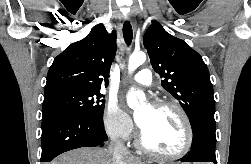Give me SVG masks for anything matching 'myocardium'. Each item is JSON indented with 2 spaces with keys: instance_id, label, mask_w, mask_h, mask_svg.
<instances>
[{
  "instance_id": "obj_1",
  "label": "myocardium",
  "mask_w": 251,
  "mask_h": 164,
  "mask_svg": "<svg viewBox=\"0 0 251 164\" xmlns=\"http://www.w3.org/2000/svg\"><path fill=\"white\" fill-rule=\"evenodd\" d=\"M153 106L157 108H171L177 112L185 128L186 138H185L184 146L177 153L170 154V153L160 152L152 148L146 143L143 132L140 128L138 132V137H137V142H138L139 147L146 153L155 157L163 158V159L174 160V159H179L183 157L190 151L193 144V139H194L192 124L190 122V119L187 113L178 103L169 101V100H156L153 103Z\"/></svg>"
}]
</instances>
